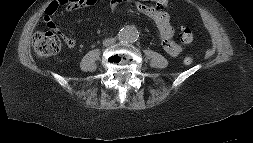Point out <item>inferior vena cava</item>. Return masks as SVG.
<instances>
[{
  "label": "inferior vena cava",
  "mask_w": 253,
  "mask_h": 143,
  "mask_svg": "<svg viewBox=\"0 0 253 143\" xmlns=\"http://www.w3.org/2000/svg\"><path fill=\"white\" fill-rule=\"evenodd\" d=\"M115 43V38H108L103 41L104 46H110Z\"/></svg>",
  "instance_id": "1"
}]
</instances>
